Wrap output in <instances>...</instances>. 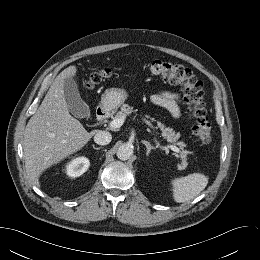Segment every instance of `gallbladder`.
<instances>
[{"instance_id": "gallbladder-1", "label": "gallbladder", "mask_w": 260, "mask_h": 260, "mask_svg": "<svg viewBox=\"0 0 260 260\" xmlns=\"http://www.w3.org/2000/svg\"><path fill=\"white\" fill-rule=\"evenodd\" d=\"M64 97L67 107L72 115L77 118L90 117V108L81 98L77 84L72 77L65 79Z\"/></svg>"}]
</instances>
